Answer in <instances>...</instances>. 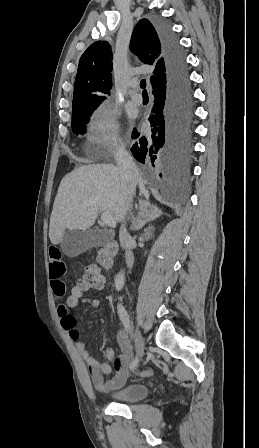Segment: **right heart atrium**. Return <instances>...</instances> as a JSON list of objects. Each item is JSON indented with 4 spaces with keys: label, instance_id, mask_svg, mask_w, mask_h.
<instances>
[{
    "label": "right heart atrium",
    "instance_id": "d8ad5b80",
    "mask_svg": "<svg viewBox=\"0 0 259 448\" xmlns=\"http://www.w3.org/2000/svg\"><path fill=\"white\" fill-rule=\"evenodd\" d=\"M86 146L98 152H117L121 136L116 116L105 106H99L90 118Z\"/></svg>",
    "mask_w": 259,
    "mask_h": 448
}]
</instances>
